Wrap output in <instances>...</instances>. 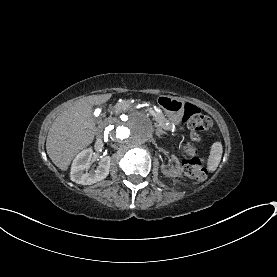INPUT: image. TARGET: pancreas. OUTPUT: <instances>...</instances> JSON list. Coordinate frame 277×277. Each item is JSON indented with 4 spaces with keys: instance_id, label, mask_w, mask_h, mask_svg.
Returning <instances> with one entry per match:
<instances>
[{
    "instance_id": "cf45deb5",
    "label": "pancreas",
    "mask_w": 277,
    "mask_h": 277,
    "mask_svg": "<svg viewBox=\"0 0 277 277\" xmlns=\"http://www.w3.org/2000/svg\"><path fill=\"white\" fill-rule=\"evenodd\" d=\"M143 112L151 116L153 119H157V123L164 127L168 123V118L165 115H161L160 109L155 105L146 101H121L113 105L108 106L107 113L110 116L119 115L123 112Z\"/></svg>"
}]
</instances>
